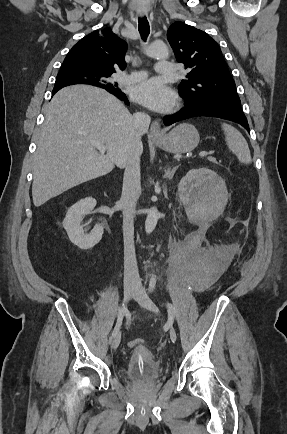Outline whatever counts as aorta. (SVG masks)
<instances>
[{
	"label": "aorta",
	"instance_id": "1",
	"mask_svg": "<svg viewBox=\"0 0 287 434\" xmlns=\"http://www.w3.org/2000/svg\"><path fill=\"white\" fill-rule=\"evenodd\" d=\"M146 55L153 58H167L169 50L166 44L162 42H153L146 49ZM160 213L156 207H152L147 212L145 221V231L150 234L156 227Z\"/></svg>",
	"mask_w": 287,
	"mask_h": 434
}]
</instances>
